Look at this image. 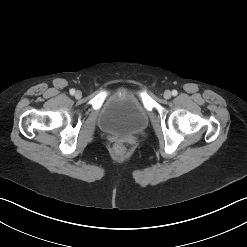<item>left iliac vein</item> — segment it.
<instances>
[{
	"instance_id": "obj_1",
	"label": "left iliac vein",
	"mask_w": 247,
	"mask_h": 247,
	"mask_svg": "<svg viewBox=\"0 0 247 247\" xmlns=\"http://www.w3.org/2000/svg\"><path fill=\"white\" fill-rule=\"evenodd\" d=\"M163 96H164L165 99H170L172 94H171V92L169 90H166L164 92Z\"/></svg>"
}]
</instances>
